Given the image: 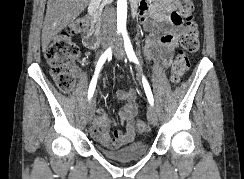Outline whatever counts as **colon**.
I'll use <instances>...</instances> for the list:
<instances>
[{
	"label": "colon",
	"instance_id": "colon-1",
	"mask_svg": "<svg viewBox=\"0 0 244 179\" xmlns=\"http://www.w3.org/2000/svg\"><path fill=\"white\" fill-rule=\"evenodd\" d=\"M175 1L178 10L174 14L181 16L186 26L179 51L170 70L171 83L178 84L189 67L188 54L198 50L200 41L196 23L193 19L194 3L191 0ZM86 29V20L76 19L62 30L45 50V59L51 67V74L63 92H70L74 86V79L69 72V68L79 58V47L71 41V37L84 33ZM135 127L141 133L148 131V126L143 120L137 121Z\"/></svg>",
	"mask_w": 244,
	"mask_h": 179
}]
</instances>
